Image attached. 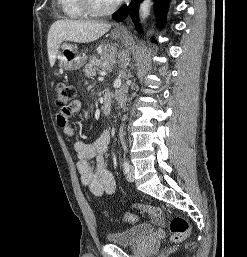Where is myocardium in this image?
<instances>
[{
    "label": "myocardium",
    "instance_id": "1",
    "mask_svg": "<svg viewBox=\"0 0 247 257\" xmlns=\"http://www.w3.org/2000/svg\"><path fill=\"white\" fill-rule=\"evenodd\" d=\"M80 6L83 9V11L93 17L103 16L111 13L116 9L119 2L113 1L108 6L104 8L97 7L93 0H79Z\"/></svg>",
    "mask_w": 247,
    "mask_h": 257
}]
</instances>
